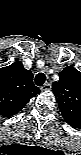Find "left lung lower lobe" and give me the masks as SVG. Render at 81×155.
I'll return each mask as SVG.
<instances>
[{"label": "left lung lower lobe", "instance_id": "1", "mask_svg": "<svg viewBox=\"0 0 81 155\" xmlns=\"http://www.w3.org/2000/svg\"><path fill=\"white\" fill-rule=\"evenodd\" d=\"M71 126H73V127H75V128H79L78 126H74V125H71Z\"/></svg>", "mask_w": 81, "mask_h": 155}]
</instances>
